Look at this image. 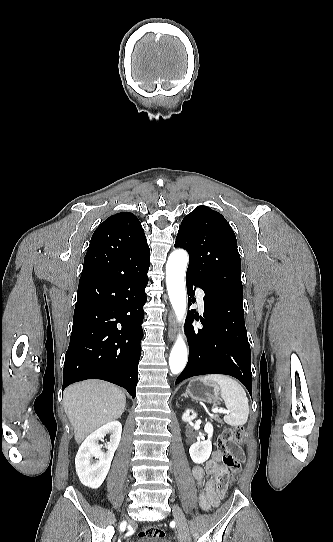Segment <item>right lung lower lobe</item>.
<instances>
[{"label":"right lung lower lobe","mask_w":333,"mask_h":542,"mask_svg":"<svg viewBox=\"0 0 333 542\" xmlns=\"http://www.w3.org/2000/svg\"><path fill=\"white\" fill-rule=\"evenodd\" d=\"M149 258L148 245L87 251L83 271L89 274L79 280L62 390L102 379L136 396Z\"/></svg>","instance_id":"98d812e1"}]
</instances>
